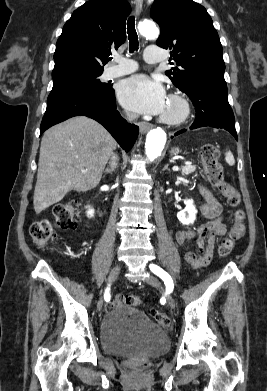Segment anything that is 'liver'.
<instances>
[{
	"label": "liver",
	"instance_id": "liver-1",
	"mask_svg": "<svg viewBox=\"0 0 267 391\" xmlns=\"http://www.w3.org/2000/svg\"><path fill=\"white\" fill-rule=\"evenodd\" d=\"M116 141L85 116L73 117L48 129L42 138L33 205L37 214L61 201L69 191L95 188ZM82 170H86L85 173Z\"/></svg>",
	"mask_w": 267,
	"mask_h": 391
}]
</instances>
